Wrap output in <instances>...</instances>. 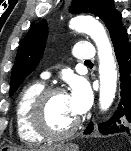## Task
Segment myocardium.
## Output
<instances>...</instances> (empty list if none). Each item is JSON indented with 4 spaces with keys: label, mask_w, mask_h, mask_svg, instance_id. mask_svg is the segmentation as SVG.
<instances>
[{
    "label": "myocardium",
    "mask_w": 131,
    "mask_h": 151,
    "mask_svg": "<svg viewBox=\"0 0 131 151\" xmlns=\"http://www.w3.org/2000/svg\"><path fill=\"white\" fill-rule=\"evenodd\" d=\"M57 94H66L65 90L59 86L44 88L36 97L31 109V124L34 131L41 137L50 140H62L73 135L80 126V119L66 130L61 132L52 131L46 120V111L50 99Z\"/></svg>",
    "instance_id": "f54148a6"
}]
</instances>
